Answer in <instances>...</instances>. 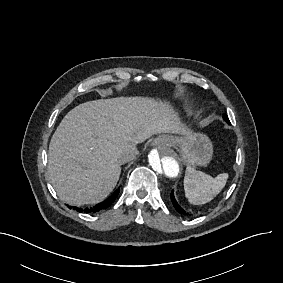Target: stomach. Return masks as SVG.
<instances>
[{
  "mask_svg": "<svg viewBox=\"0 0 283 283\" xmlns=\"http://www.w3.org/2000/svg\"><path fill=\"white\" fill-rule=\"evenodd\" d=\"M170 146L179 147L180 156L186 164L205 166L212 158V144L209 138L199 133L185 134L182 137L168 136L165 145L159 149H166Z\"/></svg>",
  "mask_w": 283,
  "mask_h": 283,
  "instance_id": "stomach-1",
  "label": "stomach"
}]
</instances>
